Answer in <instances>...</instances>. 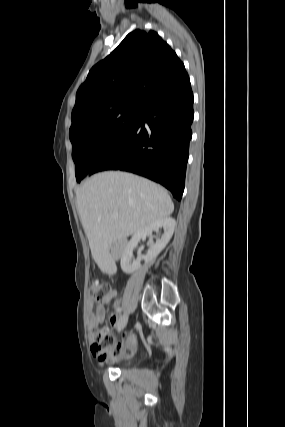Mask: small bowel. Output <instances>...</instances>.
Listing matches in <instances>:
<instances>
[{"label": "small bowel", "instance_id": "c3829d8e", "mask_svg": "<svg viewBox=\"0 0 285 427\" xmlns=\"http://www.w3.org/2000/svg\"><path fill=\"white\" fill-rule=\"evenodd\" d=\"M115 295H116V289H111L110 292L103 298V300L101 301V304L98 305L96 308L94 307V304L92 301L88 302L87 322H88V327L90 329L98 327L104 322L105 309L103 307V304L107 303ZM113 308H114V312L108 316V321L112 327H115L118 325L120 320L118 315V312L120 311V303L118 301H115ZM111 350L114 353V357L112 359H108L107 361L118 360L123 355L124 345L121 343L115 342ZM92 352L99 361L104 360V359H101L100 356L93 350V346H92Z\"/></svg>", "mask_w": 285, "mask_h": 427}]
</instances>
